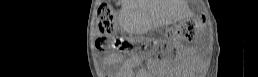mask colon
<instances>
[{
  "instance_id": "obj_1",
  "label": "colon",
  "mask_w": 258,
  "mask_h": 77,
  "mask_svg": "<svg viewBox=\"0 0 258 77\" xmlns=\"http://www.w3.org/2000/svg\"><path fill=\"white\" fill-rule=\"evenodd\" d=\"M117 26L116 16L109 7L101 6L97 9L96 44L99 48H106L112 43H118L114 38ZM198 30L199 24L186 20L171 33V37L184 40L194 39Z\"/></svg>"
}]
</instances>
